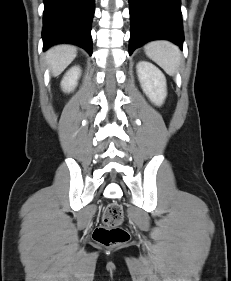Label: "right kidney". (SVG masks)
<instances>
[{"label": "right kidney", "instance_id": "right-kidney-1", "mask_svg": "<svg viewBox=\"0 0 231 281\" xmlns=\"http://www.w3.org/2000/svg\"><path fill=\"white\" fill-rule=\"evenodd\" d=\"M79 75H80V69L77 66L72 67L69 71H67V73L65 74V76L61 81V87L63 91L65 92L72 91L77 85V80L79 78Z\"/></svg>", "mask_w": 231, "mask_h": 281}]
</instances>
